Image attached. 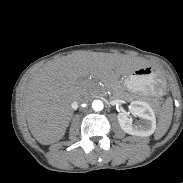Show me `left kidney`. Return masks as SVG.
Returning a JSON list of instances; mask_svg holds the SVG:
<instances>
[{"label": "left kidney", "mask_w": 183, "mask_h": 183, "mask_svg": "<svg viewBox=\"0 0 183 183\" xmlns=\"http://www.w3.org/2000/svg\"><path fill=\"white\" fill-rule=\"evenodd\" d=\"M131 112L141 120L133 123L127 112L118 114V122L122 130L130 135L147 137L151 136L156 129V117L149 103L135 100L130 104Z\"/></svg>", "instance_id": "left-kidney-1"}]
</instances>
